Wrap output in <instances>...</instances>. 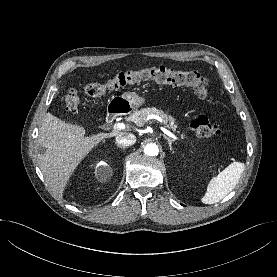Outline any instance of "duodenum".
Masks as SVG:
<instances>
[{"label":"duodenum","instance_id":"410a0bca","mask_svg":"<svg viewBox=\"0 0 277 277\" xmlns=\"http://www.w3.org/2000/svg\"><path fill=\"white\" fill-rule=\"evenodd\" d=\"M120 110L118 108H112L109 110L106 116V121L112 123L115 118L119 115Z\"/></svg>","mask_w":277,"mask_h":277}]
</instances>
